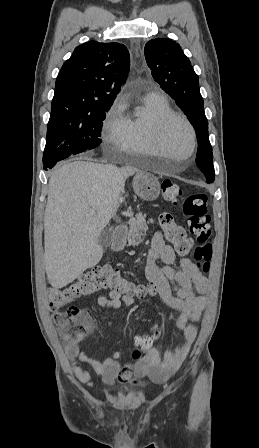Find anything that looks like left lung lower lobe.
Masks as SVG:
<instances>
[{"label":"left lung lower lobe","instance_id":"1","mask_svg":"<svg viewBox=\"0 0 259 448\" xmlns=\"http://www.w3.org/2000/svg\"><path fill=\"white\" fill-rule=\"evenodd\" d=\"M197 166L204 173L207 182L212 183L215 178L214 166L212 163V159H204L197 162Z\"/></svg>","mask_w":259,"mask_h":448}]
</instances>
